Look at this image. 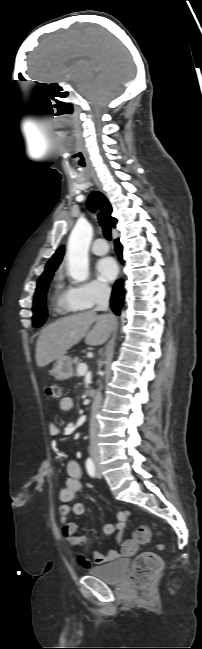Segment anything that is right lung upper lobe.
Masks as SVG:
<instances>
[{
  "mask_svg": "<svg viewBox=\"0 0 202 649\" xmlns=\"http://www.w3.org/2000/svg\"><path fill=\"white\" fill-rule=\"evenodd\" d=\"M87 206L91 211H95L96 208L101 209V211L104 213L107 221L114 227L116 225L117 219L111 216L112 213V207L109 203V201L106 199V197L100 193V192H93L87 201ZM64 246H61L57 249L56 253L52 256V258L48 261L46 267H45V272L41 275H47L48 273L54 272L64 255ZM40 276V277H41Z\"/></svg>",
  "mask_w": 202,
  "mask_h": 649,
  "instance_id": "right-lung-upper-lobe-1",
  "label": "right lung upper lobe"
}]
</instances>
